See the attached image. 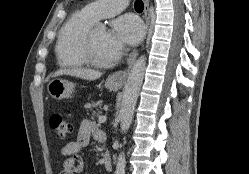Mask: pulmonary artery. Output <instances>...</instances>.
<instances>
[{"label": "pulmonary artery", "instance_id": "1", "mask_svg": "<svg viewBox=\"0 0 249 174\" xmlns=\"http://www.w3.org/2000/svg\"><path fill=\"white\" fill-rule=\"evenodd\" d=\"M128 0H96L89 3L84 11L94 20L113 16L126 9Z\"/></svg>", "mask_w": 249, "mask_h": 174}]
</instances>
